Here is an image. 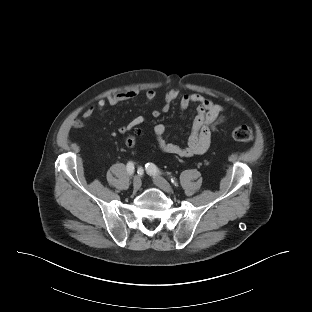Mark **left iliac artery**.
<instances>
[{
  "label": "left iliac artery",
  "instance_id": "left-iliac-artery-1",
  "mask_svg": "<svg viewBox=\"0 0 312 312\" xmlns=\"http://www.w3.org/2000/svg\"><path fill=\"white\" fill-rule=\"evenodd\" d=\"M146 170L150 175H158L161 174V171L158 169V167L156 165H154L153 163H148L146 164ZM171 182L177 186L178 183L175 180V178H171Z\"/></svg>",
  "mask_w": 312,
  "mask_h": 312
}]
</instances>
